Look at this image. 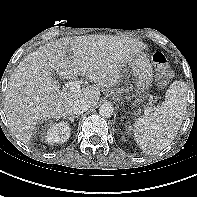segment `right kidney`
I'll use <instances>...</instances> for the list:
<instances>
[{
  "mask_svg": "<svg viewBox=\"0 0 197 197\" xmlns=\"http://www.w3.org/2000/svg\"><path fill=\"white\" fill-rule=\"evenodd\" d=\"M71 128L67 122H59L51 124L45 135V140L48 144L64 143L70 137Z\"/></svg>",
  "mask_w": 197,
  "mask_h": 197,
  "instance_id": "ca27d5eb",
  "label": "right kidney"
}]
</instances>
